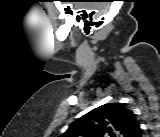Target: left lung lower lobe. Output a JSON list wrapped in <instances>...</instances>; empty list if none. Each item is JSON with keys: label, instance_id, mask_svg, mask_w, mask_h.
I'll list each match as a JSON object with an SVG mask.
<instances>
[{"label": "left lung lower lobe", "instance_id": "obj_1", "mask_svg": "<svg viewBox=\"0 0 160 137\" xmlns=\"http://www.w3.org/2000/svg\"><path fill=\"white\" fill-rule=\"evenodd\" d=\"M140 135H141V129L138 128L133 137H140Z\"/></svg>", "mask_w": 160, "mask_h": 137}]
</instances>
